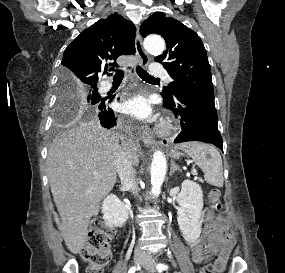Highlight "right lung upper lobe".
Instances as JSON below:
<instances>
[{"label": "right lung upper lobe", "mask_w": 285, "mask_h": 273, "mask_svg": "<svg viewBox=\"0 0 285 273\" xmlns=\"http://www.w3.org/2000/svg\"><path fill=\"white\" fill-rule=\"evenodd\" d=\"M135 32L134 24L118 14L97 21L65 49L61 74L78 84L97 85L98 73L103 68L106 73L108 60L135 53Z\"/></svg>", "instance_id": "cb5924a9"}]
</instances>
